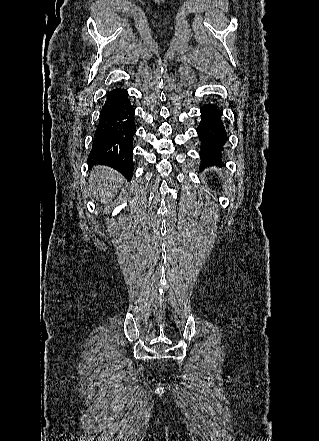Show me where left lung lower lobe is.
<instances>
[{
    "mask_svg": "<svg viewBox=\"0 0 319 441\" xmlns=\"http://www.w3.org/2000/svg\"><path fill=\"white\" fill-rule=\"evenodd\" d=\"M201 122L197 128L200 138L201 167L222 163V152L227 142V133L222 121V112L213 104L201 107Z\"/></svg>",
    "mask_w": 319,
    "mask_h": 441,
    "instance_id": "0a47b994",
    "label": "left lung lower lobe"
}]
</instances>
